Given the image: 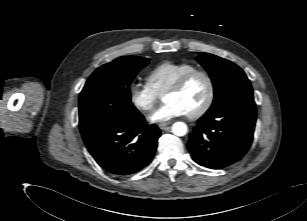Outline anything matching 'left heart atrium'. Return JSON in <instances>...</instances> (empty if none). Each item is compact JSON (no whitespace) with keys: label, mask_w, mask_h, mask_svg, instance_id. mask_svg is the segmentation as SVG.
I'll return each instance as SVG.
<instances>
[{"label":"left heart atrium","mask_w":307,"mask_h":221,"mask_svg":"<svg viewBox=\"0 0 307 221\" xmlns=\"http://www.w3.org/2000/svg\"><path fill=\"white\" fill-rule=\"evenodd\" d=\"M186 111L177 102H166L160 108L155 110L150 116L149 120L153 123L169 121L175 117L186 115Z\"/></svg>","instance_id":"39dd6f15"}]
</instances>
